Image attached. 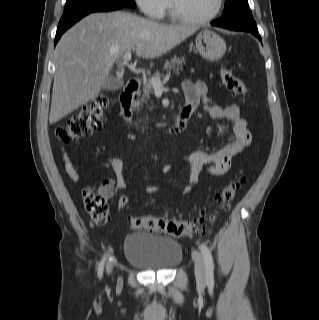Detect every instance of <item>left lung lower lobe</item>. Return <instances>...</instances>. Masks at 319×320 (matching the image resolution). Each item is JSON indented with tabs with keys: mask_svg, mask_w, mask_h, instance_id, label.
Wrapping results in <instances>:
<instances>
[{
	"mask_svg": "<svg viewBox=\"0 0 319 320\" xmlns=\"http://www.w3.org/2000/svg\"><path fill=\"white\" fill-rule=\"evenodd\" d=\"M213 26H218L235 31H246L252 33L261 41L257 25L253 18L244 16H229L211 22Z\"/></svg>",
	"mask_w": 319,
	"mask_h": 320,
	"instance_id": "0a47b994",
	"label": "left lung lower lobe"
}]
</instances>
